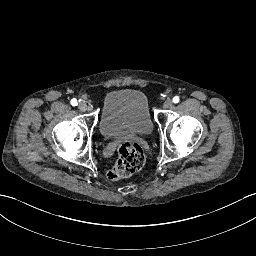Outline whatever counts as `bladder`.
<instances>
[{
	"label": "bladder",
	"instance_id": "bladder-1",
	"mask_svg": "<svg viewBox=\"0 0 256 256\" xmlns=\"http://www.w3.org/2000/svg\"><path fill=\"white\" fill-rule=\"evenodd\" d=\"M99 125L105 136H130L150 132L152 122L144 93L131 89L106 93Z\"/></svg>",
	"mask_w": 256,
	"mask_h": 256
}]
</instances>
